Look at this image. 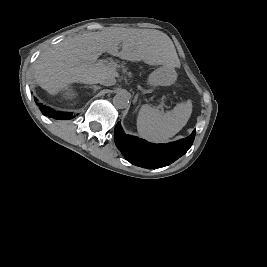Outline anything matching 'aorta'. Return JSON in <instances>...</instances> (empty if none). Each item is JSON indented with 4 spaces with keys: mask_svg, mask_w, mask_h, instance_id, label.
<instances>
[{
    "mask_svg": "<svg viewBox=\"0 0 267 267\" xmlns=\"http://www.w3.org/2000/svg\"><path fill=\"white\" fill-rule=\"evenodd\" d=\"M129 97L126 92L117 93L113 98V104L118 109H124L128 106Z\"/></svg>",
    "mask_w": 267,
    "mask_h": 267,
    "instance_id": "aorta-1",
    "label": "aorta"
}]
</instances>
